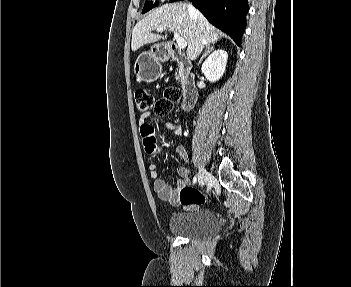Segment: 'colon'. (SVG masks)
I'll use <instances>...</instances> for the list:
<instances>
[{
    "label": "colon",
    "instance_id": "5ec220e1",
    "mask_svg": "<svg viewBox=\"0 0 351 287\" xmlns=\"http://www.w3.org/2000/svg\"><path fill=\"white\" fill-rule=\"evenodd\" d=\"M135 104L139 113H146L154 110L158 117L169 114L174 104L180 103L183 94L178 88H167L163 93V98L155 101L151 91L147 89H138L135 92ZM206 196L194 187H183L179 192V201L186 207L203 203Z\"/></svg>",
    "mask_w": 351,
    "mask_h": 287
}]
</instances>
